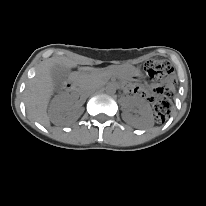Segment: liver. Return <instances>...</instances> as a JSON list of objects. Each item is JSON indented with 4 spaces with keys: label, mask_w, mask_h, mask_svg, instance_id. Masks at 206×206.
<instances>
[{
    "label": "liver",
    "mask_w": 206,
    "mask_h": 206,
    "mask_svg": "<svg viewBox=\"0 0 206 206\" xmlns=\"http://www.w3.org/2000/svg\"><path fill=\"white\" fill-rule=\"evenodd\" d=\"M57 64L71 68L75 67L77 62L63 56H54L43 61L38 66L35 76L27 83L25 89L27 114L43 125L49 124L50 120L55 125H69L76 121L82 113L73 111L65 116L56 114L52 119L48 115L47 107L55 87L51 76V69Z\"/></svg>",
    "instance_id": "6515ba94"
}]
</instances>
